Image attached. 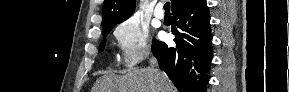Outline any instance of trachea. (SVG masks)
<instances>
[{
	"label": "trachea",
	"instance_id": "1",
	"mask_svg": "<svg viewBox=\"0 0 289 92\" xmlns=\"http://www.w3.org/2000/svg\"><path fill=\"white\" fill-rule=\"evenodd\" d=\"M164 10L166 13H170V2L164 4Z\"/></svg>",
	"mask_w": 289,
	"mask_h": 92
}]
</instances>
